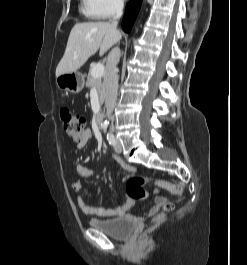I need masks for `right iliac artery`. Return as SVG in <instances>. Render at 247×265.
<instances>
[{
    "mask_svg": "<svg viewBox=\"0 0 247 265\" xmlns=\"http://www.w3.org/2000/svg\"><path fill=\"white\" fill-rule=\"evenodd\" d=\"M107 127H108V124H107V123H103L102 128H103L104 130H106Z\"/></svg>",
    "mask_w": 247,
    "mask_h": 265,
    "instance_id": "1",
    "label": "right iliac artery"
}]
</instances>
